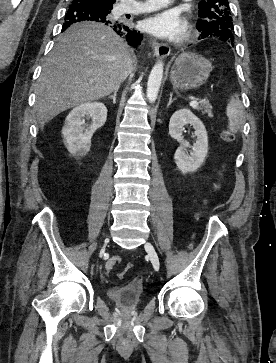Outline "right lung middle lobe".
Returning a JSON list of instances; mask_svg holds the SVG:
<instances>
[{"instance_id": "obj_1", "label": "right lung middle lobe", "mask_w": 276, "mask_h": 363, "mask_svg": "<svg viewBox=\"0 0 276 363\" xmlns=\"http://www.w3.org/2000/svg\"><path fill=\"white\" fill-rule=\"evenodd\" d=\"M79 4H90V5H94L95 8H97L98 10H100L104 16H107L108 14L111 13V9L112 7L110 6H104V5H101V4H98V3H95L93 1H90V0H73L71 2V5L70 7H73V6H79Z\"/></svg>"}]
</instances>
